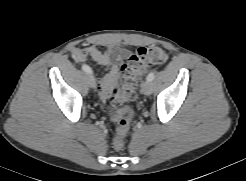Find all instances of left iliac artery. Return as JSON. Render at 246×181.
Instances as JSON below:
<instances>
[{"mask_svg":"<svg viewBox=\"0 0 246 181\" xmlns=\"http://www.w3.org/2000/svg\"><path fill=\"white\" fill-rule=\"evenodd\" d=\"M154 77H155V72H150L149 74H148V76H147V80L148 81H152L153 79H154Z\"/></svg>","mask_w":246,"mask_h":181,"instance_id":"obj_1","label":"left iliac artery"}]
</instances>
